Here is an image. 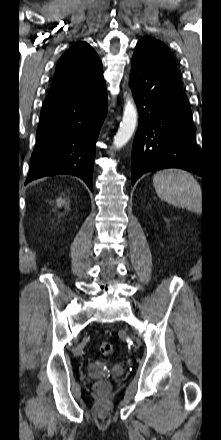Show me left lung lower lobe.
Instances as JSON below:
<instances>
[{"instance_id":"1","label":"left lung lower lobe","mask_w":221,"mask_h":440,"mask_svg":"<svg viewBox=\"0 0 221 440\" xmlns=\"http://www.w3.org/2000/svg\"><path fill=\"white\" fill-rule=\"evenodd\" d=\"M130 86L139 111L132 148V184L146 172L181 168L204 177V161L195 145L196 127L179 80L149 65L135 52Z\"/></svg>"}]
</instances>
